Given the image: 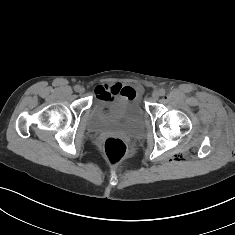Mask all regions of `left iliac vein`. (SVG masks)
Here are the masks:
<instances>
[{
	"label": "left iliac vein",
	"mask_w": 235,
	"mask_h": 235,
	"mask_svg": "<svg viewBox=\"0 0 235 235\" xmlns=\"http://www.w3.org/2000/svg\"><path fill=\"white\" fill-rule=\"evenodd\" d=\"M159 96H160V92L158 90L153 91L152 93L153 100H158Z\"/></svg>",
	"instance_id": "4c4485c4"
}]
</instances>
